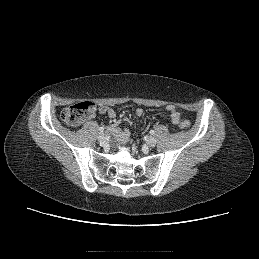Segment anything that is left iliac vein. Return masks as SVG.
<instances>
[{"mask_svg": "<svg viewBox=\"0 0 259 259\" xmlns=\"http://www.w3.org/2000/svg\"><path fill=\"white\" fill-rule=\"evenodd\" d=\"M149 147H154L156 145V139L154 137H149L146 141Z\"/></svg>", "mask_w": 259, "mask_h": 259, "instance_id": "left-iliac-vein-1", "label": "left iliac vein"}]
</instances>
